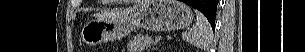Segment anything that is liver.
Returning a JSON list of instances; mask_svg holds the SVG:
<instances>
[{
    "instance_id": "6515ba94",
    "label": "liver",
    "mask_w": 305,
    "mask_h": 52,
    "mask_svg": "<svg viewBox=\"0 0 305 52\" xmlns=\"http://www.w3.org/2000/svg\"><path fill=\"white\" fill-rule=\"evenodd\" d=\"M148 3H149V0H145L141 3V5H135L133 7H130V8L124 9V10H113V11L107 12L105 14H101L100 16L106 17V19L122 17V16H125L142 7H145Z\"/></svg>"
}]
</instances>
